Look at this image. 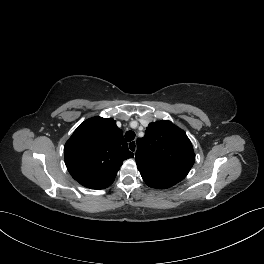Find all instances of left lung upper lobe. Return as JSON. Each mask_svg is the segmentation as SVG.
<instances>
[{
    "instance_id": "obj_1",
    "label": "left lung upper lobe",
    "mask_w": 264,
    "mask_h": 264,
    "mask_svg": "<svg viewBox=\"0 0 264 264\" xmlns=\"http://www.w3.org/2000/svg\"><path fill=\"white\" fill-rule=\"evenodd\" d=\"M135 160L141 175L164 171L178 183L193 166L195 154L186 133L162 120L150 123L145 136L137 139Z\"/></svg>"
}]
</instances>
